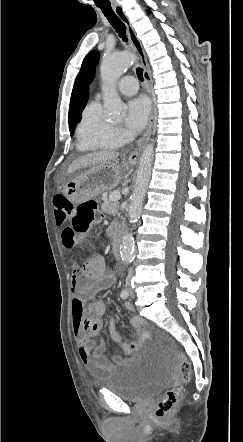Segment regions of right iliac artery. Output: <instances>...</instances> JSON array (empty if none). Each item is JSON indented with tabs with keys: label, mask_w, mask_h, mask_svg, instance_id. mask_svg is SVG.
Returning <instances> with one entry per match:
<instances>
[{
	"label": "right iliac artery",
	"mask_w": 243,
	"mask_h": 442,
	"mask_svg": "<svg viewBox=\"0 0 243 442\" xmlns=\"http://www.w3.org/2000/svg\"><path fill=\"white\" fill-rule=\"evenodd\" d=\"M120 296H121L122 299H127L128 296H129V291H128V289H124V290H122Z\"/></svg>",
	"instance_id": "82829eb1"
}]
</instances>
